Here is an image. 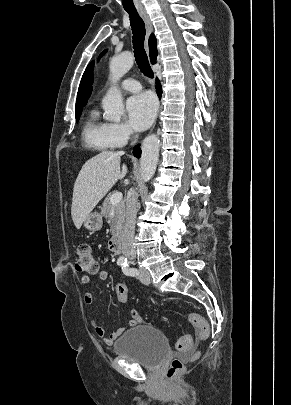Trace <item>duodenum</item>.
<instances>
[{
    "instance_id": "obj_1",
    "label": "duodenum",
    "mask_w": 291,
    "mask_h": 405,
    "mask_svg": "<svg viewBox=\"0 0 291 405\" xmlns=\"http://www.w3.org/2000/svg\"><path fill=\"white\" fill-rule=\"evenodd\" d=\"M108 247L114 253H118V252L121 251V248H122V235H121V233H116L109 240Z\"/></svg>"
}]
</instances>
